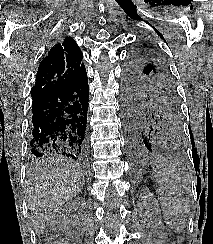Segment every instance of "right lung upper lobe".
<instances>
[{"instance_id": "cb5924a9", "label": "right lung upper lobe", "mask_w": 213, "mask_h": 244, "mask_svg": "<svg viewBox=\"0 0 213 244\" xmlns=\"http://www.w3.org/2000/svg\"><path fill=\"white\" fill-rule=\"evenodd\" d=\"M82 52L72 37H62L40 62L31 95L40 90L53 91L72 83L85 70Z\"/></svg>"}]
</instances>
